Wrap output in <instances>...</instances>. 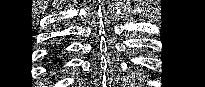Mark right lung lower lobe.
Returning a JSON list of instances; mask_svg holds the SVG:
<instances>
[{"label":"right lung lower lobe","instance_id":"right-lung-lower-lobe-1","mask_svg":"<svg viewBox=\"0 0 205 87\" xmlns=\"http://www.w3.org/2000/svg\"><path fill=\"white\" fill-rule=\"evenodd\" d=\"M51 63H52L53 66H57V67L62 66L63 61L58 56L57 52L53 54V56L51 58Z\"/></svg>","mask_w":205,"mask_h":87}]
</instances>
